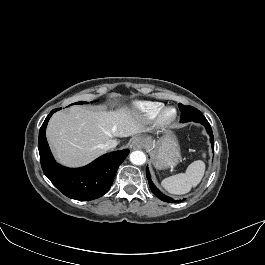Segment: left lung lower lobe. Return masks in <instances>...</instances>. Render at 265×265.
Segmentation results:
<instances>
[{
  "instance_id": "1",
  "label": "left lung lower lobe",
  "mask_w": 265,
  "mask_h": 265,
  "mask_svg": "<svg viewBox=\"0 0 265 265\" xmlns=\"http://www.w3.org/2000/svg\"><path fill=\"white\" fill-rule=\"evenodd\" d=\"M192 121H195V122H199L201 124H203L208 132V134L210 135V142H211V145H212V150H214V137H213V133H212V129H211V126L209 124V122L207 121V119L202 116V117H198V118H194ZM146 176H147V179H148V182H149V186H150V189L151 191L162 201H165V202H171V203H179L181 202L182 200H174L164 194H162L158 189L157 187L153 184L152 180H151V176H150V173L148 171V168H146Z\"/></svg>"
}]
</instances>
